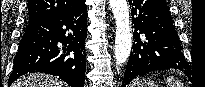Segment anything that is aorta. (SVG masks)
Masks as SVG:
<instances>
[{"label": "aorta", "instance_id": "obj_1", "mask_svg": "<svg viewBox=\"0 0 205 87\" xmlns=\"http://www.w3.org/2000/svg\"><path fill=\"white\" fill-rule=\"evenodd\" d=\"M116 22L115 60L117 65L124 64L131 52L132 33L127 0H110Z\"/></svg>", "mask_w": 205, "mask_h": 87}]
</instances>
